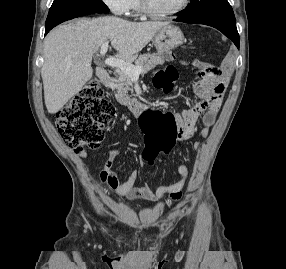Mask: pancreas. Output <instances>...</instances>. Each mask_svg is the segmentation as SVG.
<instances>
[{
    "label": "pancreas",
    "instance_id": "pancreas-1",
    "mask_svg": "<svg viewBox=\"0 0 286 269\" xmlns=\"http://www.w3.org/2000/svg\"><path fill=\"white\" fill-rule=\"evenodd\" d=\"M164 61L161 56L153 54H143L135 61V66L142 69V73H148L157 65H162ZM113 87L117 90L116 98L123 102L129 99L128 91L133 92V79L125 72L117 71V77L113 80Z\"/></svg>",
    "mask_w": 286,
    "mask_h": 269
}]
</instances>
